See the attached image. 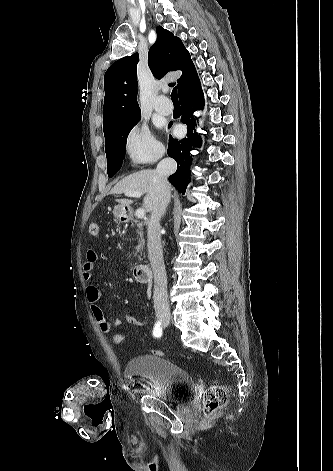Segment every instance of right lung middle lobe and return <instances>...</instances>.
Segmentation results:
<instances>
[{
    "mask_svg": "<svg viewBox=\"0 0 333 471\" xmlns=\"http://www.w3.org/2000/svg\"><path fill=\"white\" fill-rule=\"evenodd\" d=\"M141 115L117 123L104 132L107 172L112 177L122 166L125 156L126 140L131 129L138 123Z\"/></svg>",
    "mask_w": 333,
    "mask_h": 471,
    "instance_id": "dd1d6c3e",
    "label": "right lung middle lobe"
}]
</instances>
